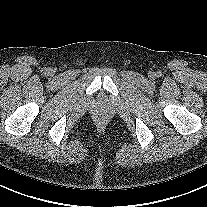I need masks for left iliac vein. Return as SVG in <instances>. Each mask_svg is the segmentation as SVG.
Listing matches in <instances>:
<instances>
[{
    "label": "left iliac vein",
    "mask_w": 207,
    "mask_h": 207,
    "mask_svg": "<svg viewBox=\"0 0 207 207\" xmlns=\"http://www.w3.org/2000/svg\"><path fill=\"white\" fill-rule=\"evenodd\" d=\"M151 77H154V74L153 73L151 74Z\"/></svg>",
    "instance_id": "4c4485c4"
}]
</instances>
